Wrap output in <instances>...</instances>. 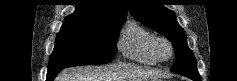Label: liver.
Wrapping results in <instances>:
<instances>
[{
	"mask_svg": "<svg viewBox=\"0 0 237 81\" xmlns=\"http://www.w3.org/2000/svg\"><path fill=\"white\" fill-rule=\"evenodd\" d=\"M163 73L134 66H80L64 69L57 81H155Z\"/></svg>",
	"mask_w": 237,
	"mask_h": 81,
	"instance_id": "6515ba94",
	"label": "liver"
}]
</instances>
